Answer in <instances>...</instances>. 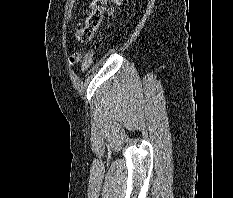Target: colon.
I'll return each mask as SVG.
<instances>
[{
  "label": "colon",
  "instance_id": "1",
  "mask_svg": "<svg viewBox=\"0 0 233 198\" xmlns=\"http://www.w3.org/2000/svg\"><path fill=\"white\" fill-rule=\"evenodd\" d=\"M107 0H91V11L86 19L84 27L79 28L76 31V38L79 41L89 40L96 28L100 25L102 20V13L105 8ZM115 6L122 8L123 0H112ZM100 41L95 42L93 47L88 51L82 60V70L86 71L92 65L95 57V49L99 47ZM72 62L76 61V58H71Z\"/></svg>",
  "mask_w": 233,
  "mask_h": 198
}]
</instances>
